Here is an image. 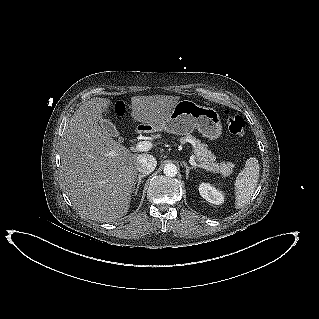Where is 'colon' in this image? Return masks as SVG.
<instances>
[{"label": "colon", "instance_id": "colon-1", "mask_svg": "<svg viewBox=\"0 0 319 319\" xmlns=\"http://www.w3.org/2000/svg\"><path fill=\"white\" fill-rule=\"evenodd\" d=\"M117 115L122 116L124 114V107L121 106L119 108H117L116 110ZM224 119L226 121L227 124V128L228 131L233 134L236 135L238 137H244V126H245V122L244 119L240 116H232L229 114L228 111L224 112Z\"/></svg>", "mask_w": 319, "mask_h": 319}]
</instances>
